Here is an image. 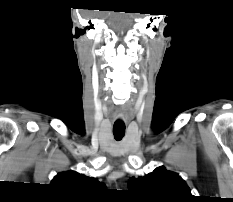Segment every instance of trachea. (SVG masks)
<instances>
[{
    "instance_id": "3493384b",
    "label": "trachea",
    "mask_w": 233,
    "mask_h": 202,
    "mask_svg": "<svg viewBox=\"0 0 233 202\" xmlns=\"http://www.w3.org/2000/svg\"><path fill=\"white\" fill-rule=\"evenodd\" d=\"M113 134L116 140H121L125 135V126L124 125H114Z\"/></svg>"
}]
</instances>
